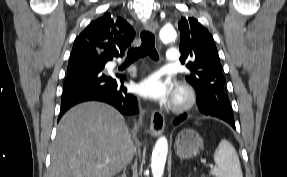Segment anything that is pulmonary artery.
I'll use <instances>...</instances> for the list:
<instances>
[{"label":"pulmonary artery","mask_w":287,"mask_h":177,"mask_svg":"<svg viewBox=\"0 0 287 177\" xmlns=\"http://www.w3.org/2000/svg\"><path fill=\"white\" fill-rule=\"evenodd\" d=\"M177 54H178V49L177 48H170L166 52L165 56V64L167 66H173L176 65L177 62Z\"/></svg>","instance_id":"e3ab8cb5"}]
</instances>
